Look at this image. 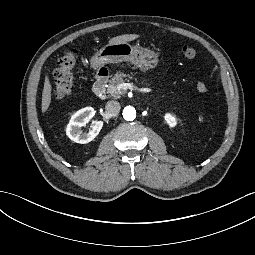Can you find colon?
Listing matches in <instances>:
<instances>
[{
    "label": "colon",
    "instance_id": "colon-1",
    "mask_svg": "<svg viewBox=\"0 0 255 255\" xmlns=\"http://www.w3.org/2000/svg\"><path fill=\"white\" fill-rule=\"evenodd\" d=\"M182 54L186 59H194L198 52L196 48L184 44L182 46ZM77 57V51L72 49L58 59L57 68L54 71V95L58 100H62L71 94ZM197 89L200 92H205L207 91V86L205 83L199 82Z\"/></svg>",
    "mask_w": 255,
    "mask_h": 255
}]
</instances>
